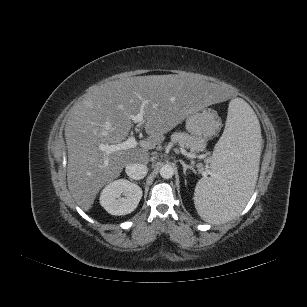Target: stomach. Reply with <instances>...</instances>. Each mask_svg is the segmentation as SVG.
Masks as SVG:
<instances>
[{
    "mask_svg": "<svg viewBox=\"0 0 307 307\" xmlns=\"http://www.w3.org/2000/svg\"><path fill=\"white\" fill-rule=\"evenodd\" d=\"M220 126V117L214 110H197L186 117V130L194 136L209 139L216 134Z\"/></svg>",
    "mask_w": 307,
    "mask_h": 307,
    "instance_id": "stomach-1",
    "label": "stomach"
}]
</instances>
